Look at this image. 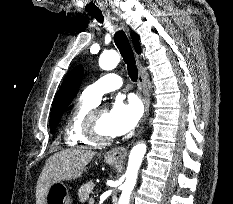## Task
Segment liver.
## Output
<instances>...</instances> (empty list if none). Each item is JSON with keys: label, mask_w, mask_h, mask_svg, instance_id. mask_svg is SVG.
Here are the masks:
<instances>
[{"label": "liver", "mask_w": 233, "mask_h": 204, "mask_svg": "<svg viewBox=\"0 0 233 204\" xmlns=\"http://www.w3.org/2000/svg\"><path fill=\"white\" fill-rule=\"evenodd\" d=\"M95 152L83 149H66L52 155L45 163L36 185V204H45L49 187L57 182L77 179Z\"/></svg>", "instance_id": "liver-1"}]
</instances>
